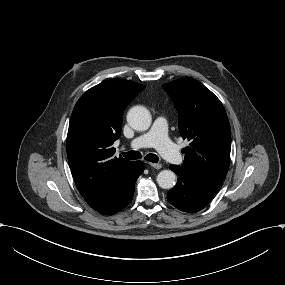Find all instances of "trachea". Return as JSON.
<instances>
[{
  "label": "trachea",
  "instance_id": "trachea-1",
  "mask_svg": "<svg viewBox=\"0 0 285 285\" xmlns=\"http://www.w3.org/2000/svg\"><path fill=\"white\" fill-rule=\"evenodd\" d=\"M123 156L126 159H131V160L140 159L142 157L140 152L134 150H131L129 152H124ZM144 159L152 163H157L159 161V157L155 154H147Z\"/></svg>",
  "mask_w": 285,
  "mask_h": 285
}]
</instances>
